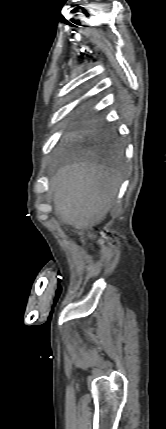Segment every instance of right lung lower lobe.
<instances>
[{
    "label": "right lung lower lobe",
    "mask_w": 166,
    "mask_h": 429,
    "mask_svg": "<svg viewBox=\"0 0 166 429\" xmlns=\"http://www.w3.org/2000/svg\"><path fill=\"white\" fill-rule=\"evenodd\" d=\"M92 129L94 130V133L96 135H99L102 137H106V136L110 135V133L104 129V127L102 125V121H100V120H96L92 123Z\"/></svg>",
    "instance_id": "obj_1"
}]
</instances>
